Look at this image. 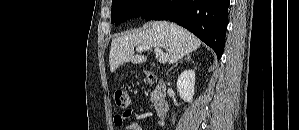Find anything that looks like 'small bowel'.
Masks as SVG:
<instances>
[{
	"label": "small bowel",
	"mask_w": 299,
	"mask_h": 130,
	"mask_svg": "<svg viewBox=\"0 0 299 130\" xmlns=\"http://www.w3.org/2000/svg\"><path fill=\"white\" fill-rule=\"evenodd\" d=\"M132 115V110H126L123 113L116 114L114 117V123L117 126H122L125 121ZM124 130H142L136 123H130L124 127Z\"/></svg>",
	"instance_id": "c3829d8e"
}]
</instances>
